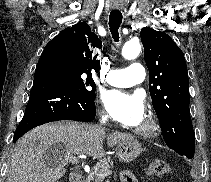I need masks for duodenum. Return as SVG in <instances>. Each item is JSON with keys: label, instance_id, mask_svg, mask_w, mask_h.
Returning <instances> with one entry per match:
<instances>
[{"label": "duodenum", "instance_id": "obj_1", "mask_svg": "<svg viewBox=\"0 0 211 182\" xmlns=\"http://www.w3.org/2000/svg\"><path fill=\"white\" fill-rule=\"evenodd\" d=\"M82 173L79 171L72 172L69 177V182H81Z\"/></svg>", "mask_w": 211, "mask_h": 182}]
</instances>
